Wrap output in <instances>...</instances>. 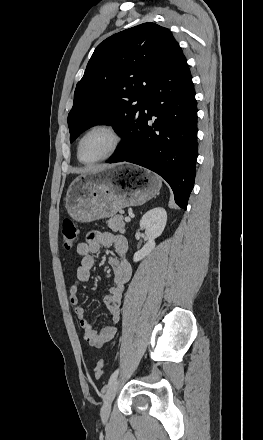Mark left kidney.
Wrapping results in <instances>:
<instances>
[{
  "label": "left kidney",
  "instance_id": "left-kidney-1",
  "mask_svg": "<svg viewBox=\"0 0 263 440\" xmlns=\"http://www.w3.org/2000/svg\"><path fill=\"white\" fill-rule=\"evenodd\" d=\"M167 222L166 210L162 207H156L146 212L140 220V228L145 230L148 238L147 243L135 252L133 261L138 262L148 256L155 248V239L159 237Z\"/></svg>",
  "mask_w": 263,
  "mask_h": 440
}]
</instances>
